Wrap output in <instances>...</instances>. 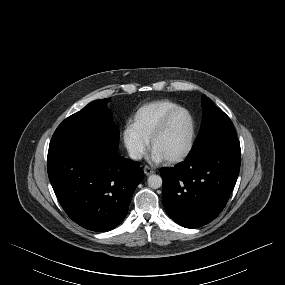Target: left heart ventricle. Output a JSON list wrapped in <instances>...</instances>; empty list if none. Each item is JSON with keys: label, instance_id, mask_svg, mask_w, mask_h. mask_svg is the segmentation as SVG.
Masks as SVG:
<instances>
[{"label": "left heart ventricle", "instance_id": "left-heart-ventricle-1", "mask_svg": "<svg viewBox=\"0 0 285 285\" xmlns=\"http://www.w3.org/2000/svg\"><path fill=\"white\" fill-rule=\"evenodd\" d=\"M191 123L188 115L179 112L170 120L164 133L156 140L154 150L164 159L172 158L184 151L188 144Z\"/></svg>", "mask_w": 285, "mask_h": 285}]
</instances>
